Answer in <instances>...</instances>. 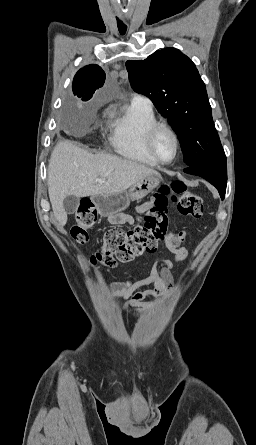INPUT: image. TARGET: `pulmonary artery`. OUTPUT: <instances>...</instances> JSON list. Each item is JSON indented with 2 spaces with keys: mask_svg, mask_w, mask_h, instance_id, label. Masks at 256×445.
I'll list each match as a JSON object with an SVG mask.
<instances>
[{
  "mask_svg": "<svg viewBox=\"0 0 256 445\" xmlns=\"http://www.w3.org/2000/svg\"><path fill=\"white\" fill-rule=\"evenodd\" d=\"M132 102L140 103V104H146V105H151V101L147 97L142 96V95H135L132 98Z\"/></svg>",
  "mask_w": 256,
  "mask_h": 445,
  "instance_id": "e3ab8cb5",
  "label": "pulmonary artery"
}]
</instances>
